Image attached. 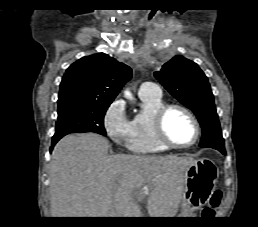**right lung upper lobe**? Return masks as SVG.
<instances>
[{"label": "right lung upper lobe", "instance_id": "cb5924a9", "mask_svg": "<svg viewBox=\"0 0 258 227\" xmlns=\"http://www.w3.org/2000/svg\"><path fill=\"white\" fill-rule=\"evenodd\" d=\"M131 75L130 67L107 54L86 56L66 70L60 84L59 99L77 97L111 103Z\"/></svg>", "mask_w": 258, "mask_h": 227}]
</instances>
